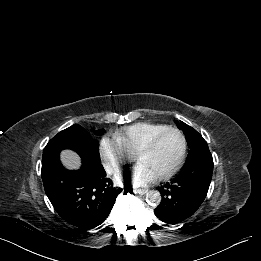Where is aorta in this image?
Here are the masks:
<instances>
[{
  "label": "aorta",
  "instance_id": "obj_1",
  "mask_svg": "<svg viewBox=\"0 0 261 261\" xmlns=\"http://www.w3.org/2000/svg\"><path fill=\"white\" fill-rule=\"evenodd\" d=\"M146 201L150 205H158L161 202V194L157 190H151L146 194Z\"/></svg>",
  "mask_w": 261,
  "mask_h": 261
}]
</instances>
